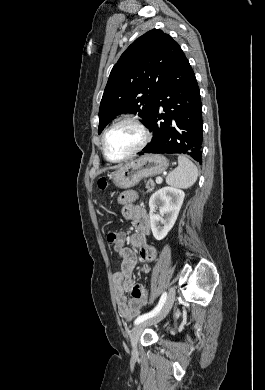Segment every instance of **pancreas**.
<instances>
[{
    "instance_id": "obj_1",
    "label": "pancreas",
    "mask_w": 265,
    "mask_h": 390,
    "mask_svg": "<svg viewBox=\"0 0 265 390\" xmlns=\"http://www.w3.org/2000/svg\"><path fill=\"white\" fill-rule=\"evenodd\" d=\"M148 185H150L149 189L152 190L155 186V183L152 179H150L148 182H147Z\"/></svg>"
}]
</instances>
